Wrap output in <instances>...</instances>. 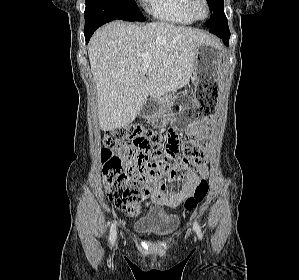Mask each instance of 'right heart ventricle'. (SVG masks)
<instances>
[{"label":"right heart ventricle","mask_w":299,"mask_h":280,"mask_svg":"<svg viewBox=\"0 0 299 280\" xmlns=\"http://www.w3.org/2000/svg\"><path fill=\"white\" fill-rule=\"evenodd\" d=\"M147 10L155 18L181 25H191L194 18L187 10V0H145Z\"/></svg>","instance_id":"e07e8e85"}]
</instances>
